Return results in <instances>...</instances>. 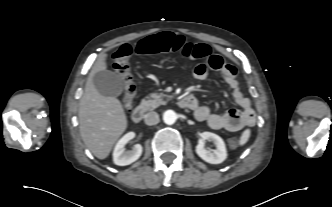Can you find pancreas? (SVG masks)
I'll list each match as a JSON object with an SVG mask.
<instances>
[{
    "label": "pancreas",
    "mask_w": 332,
    "mask_h": 207,
    "mask_svg": "<svg viewBox=\"0 0 332 207\" xmlns=\"http://www.w3.org/2000/svg\"><path fill=\"white\" fill-rule=\"evenodd\" d=\"M165 99H169V96L164 95L163 93H153L141 101L140 107L145 110H154L160 105L166 104L167 100Z\"/></svg>",
    "instance_id": "1"
}]
</instances>
